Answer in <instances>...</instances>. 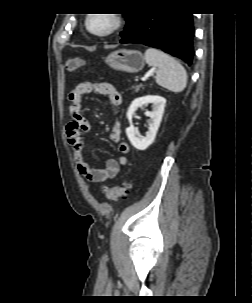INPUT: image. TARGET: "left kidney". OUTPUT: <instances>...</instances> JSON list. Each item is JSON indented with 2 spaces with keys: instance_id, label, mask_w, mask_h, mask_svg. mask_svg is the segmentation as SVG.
Listing matches in <instances>:
<instances>
[{
  "instance_id": "left-kidney-1",
  "label": "left kidney",
  "mask_w": 252,
  "mask_h": 303,
  "mask_svg": "<svg viewBox=\"0 0 252 303\" xmlns=\"http://www.w3.org/2000/svg\"><path fill=\"white\" fill-rule=\"evenodd\" d=\"M153 104V111H146V116L150 117L148 132L146 137L140 139L136 135V129L132 124V119L135 111L146 104ZM166 99L157 95H147L136 98L132 101L127 111V119L130 122V126L126 129V134L131 144L138 150H146L154 141L158 128L160 126Z\"/></svg>"
}]
</instances>
